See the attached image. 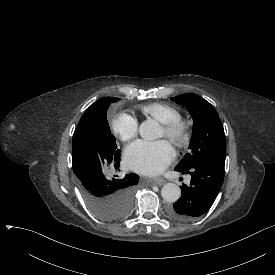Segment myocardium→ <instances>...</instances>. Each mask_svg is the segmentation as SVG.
I'll use <instances>...</instances> for the list:
<instances>
[{"label": "myocardium", "mask_w": 275, "mask_h": 275, "mask_svg": "<svg viewBox=\"0 0 275 275\" xmlns=\"http://www.w3.org/2000/svg\"><path fill=\"white\" fill-rule=\"evenodd\" d=\"M162 129L164 130V136L176 146L185 145L189 139L188 126L181 119L163 124Z\"/></svg>", "instance_id": "1"}]
</instances>
